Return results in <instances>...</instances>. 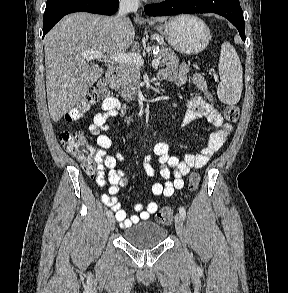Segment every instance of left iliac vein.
Instances as JSON below:
<instances>
[{
  "instance_id": "1",
  "label": "left iliac vein",
  "mask_w": 288,
  "mask_h": 293,
  "mask_svg": "<svg viewBox=\"0 0 288 293\" xmlns=\"http://www.w3.org/2000/svg\"><path fill=\"white\" fill-rule=\"evenodd\" d=\"M175 228H176L177 234L183 240L184 224H183L182 216L180 214H177L175 216Z\"/></svg>"
}]
</instances>
